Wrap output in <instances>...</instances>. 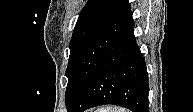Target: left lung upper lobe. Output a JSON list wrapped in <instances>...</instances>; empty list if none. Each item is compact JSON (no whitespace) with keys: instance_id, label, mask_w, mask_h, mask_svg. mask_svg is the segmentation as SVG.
<instances>
[{"instance_id":"5c2ea615","label":"left lung upper lobe","mask_w":193,"mask_h":112,"mask_svg":"<svg viewBox=\"0 0 193 112\" xmlns=\"http://www.w3.org/2000/svg\"><path fill=\"white\" fill-rule=\"evenodd\" d=\"M129 5L128 0H89L79 14L70 41L68 79L85 48Z\"/></svg>"}]
</instances>
